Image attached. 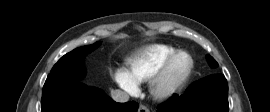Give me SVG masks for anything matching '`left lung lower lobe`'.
Masks as SVG:
<instances>
[{"label": "left lung lower lobe", "mask_w": 270, "mask_h": 112, "mask_svg": "<svg viewBox=\"0 0 270 112\" xmlns=\"http://www.w3.org/2000/svg\"><path fill=\"white\" fill-rule=\"evenodd\" d=\"M228 84L222 74L192 83L184 95L174 94L157 112H228Z\"/></svg>", "instance_id": "0a47b994"}]
</instances>
